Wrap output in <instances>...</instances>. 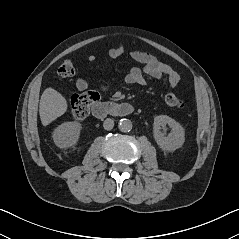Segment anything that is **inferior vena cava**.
I'll use <instances>...</instances> for the list:
<instances>
[{
	"label": "inferior vena cava",
	"instance_id": "1",
	"mask_svg": "<svg viewBox=\"0 0 239 239\" xmlns=\"http://www.w3.org/2000/svg\"><path fill=\"white\" fill-rule=\"evenodd\" d=\"M103 127L105 130H111L114 127L113 119L107 118L103 123Z\"/></svg>",
	"mask_w": 239,
	"mask_h": 239
}]
</instances>
